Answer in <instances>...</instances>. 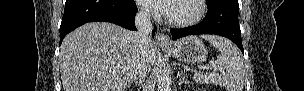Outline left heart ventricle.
Here are the masks:
<instances>
[{
	"label": "left heart ventricle",
	"instance_id": "obj_1",
	"mask_svg": "<svg viewBox=\"0 0 304 91\" xmlns=\"http://www.w3.org/2000/svg\"><path fill=\"white\" fill-rule=\"evenodd\" d=\"M197 12L194 0H176L170 4L168 16L172 19H187L193 17Z\"/></svg>",
	"mask_w": 304,
	"mask_h": 91
}]
</instances>
